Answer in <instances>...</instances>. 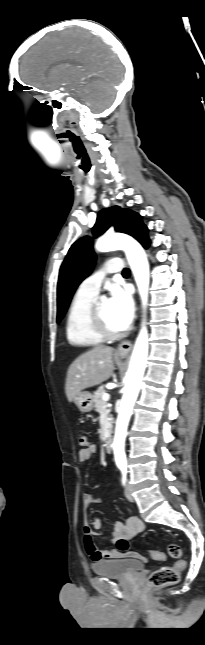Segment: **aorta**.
Here are the masks:
<instances>
[{"mask_svg": "<svg viewBox=\"0 0 205 645\" xmlns=\"http://www.w3.org/2000/svg\"><path fill=\"white\" fill-rule=\"evenodd\" d=\"M96 249L100 252H108L117 249L124 250L127 260L133 272L143 308H146L149 288V264L142 246L133 238L120 234L105 235L96 243ZM148 356V331L145 321L136 339L132 352L129 369L127 372V384L121 400L118 418L116 422L113 450L115 461L118 465L126 463L125 439L127 427L132 415L134 403L138 397L141 381L146 368Z\"/></svg>", "mask_w": 205, "mask_h": 645, "instance_id": "762f6f07", "label": "aorta"}]
</instances>
